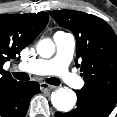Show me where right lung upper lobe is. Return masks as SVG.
<instances>
[{"label":"right lung upper lobe","instance_id":"right-lung-upper-lobe-1","mask_svg":"<svg viewBox=\"0 0 117 117\" xmlns=\"http://www.w3.org/2000/svg\"><path fill=\"white\" fill-rule=\"evenodd\" d=\"M49 16L45 12L33 14H0V94L17 83L8 71L5 62L15 59L45 28Z\"/></svg>","mask_w":117,"mask_h":117}]
</instances>
